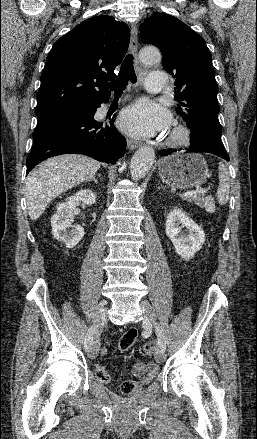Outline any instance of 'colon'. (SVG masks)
Returning <instances> with one entry per match:
<instances>
[{"mask_svg":"<svg viewBox=\"0 0 257 439\" xmlns=\"http://www.w3.org/2000/svg\"><path fill=\"white\" fill-rule=\"evenodd\" d=\"M138 332L135 328H130L124 332V334L121 336L119 341V349L121 352L128 351L135 343L137 339ZM155 347L153 342H148L144 346V353L147 356L154 355ZM94 373L96 377L104 382V383H111L113 381L112 375L105 370L103 367L99 365L93 366ZM121 389L124 393L130 394L133 392H136L139 389V383L135 380H127L125 381Z\"/></svg>","mask_w":257,"mask_h":439,"instance_id":"colon-1","label":"colon"}]
</instances>
